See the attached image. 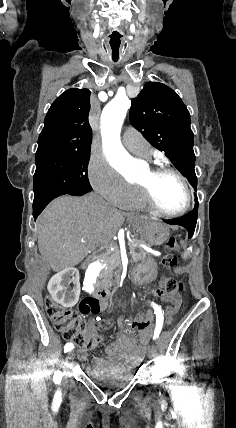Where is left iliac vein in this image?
<instances>
[{
	"instance_id": "left-iliac-vein-1",
	"label": "left iliac vein",
	"mask_w": 236,
	"mask_h": 428,
	"mask_svg": "<svg viewBox=\"0 0 236 428\" xmlns=\"http://www.w3.org/2000/svg\"><path fill=\"white\" fill-rule=\"evenodd\" d=\"M149 354H150V356L151 357H156L157 356V354H158V351H157V349L155 348V347H152L151 349H150V351H149Z\"/></svg>"
}]
</instances>
